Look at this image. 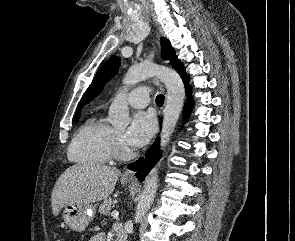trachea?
I'll return each mask as SVG.
<instances>
[{
    "label": "trachea",
    "instance_id": "1",
    "mask_svg": "<svg viewBox=\"0 0 295 241\" xmlns=\"http://www.w3.org/2000/svg\"><path fill=\"white\" fill-rule=\"evenodd\" d=\"M156 103L158 106H162L164 103V96L162 94L156 97Z\"/></svg>",
    "mask_w": 295,
    "mask_h": 241
}]
</instances>
